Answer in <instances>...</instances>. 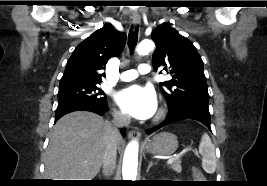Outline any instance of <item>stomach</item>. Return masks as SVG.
<instances>
[{
  "label": "stomach",
  "instance_id": "1",
  "mask_svg": "<svg viewBox=\"0 0 267 186\" xmlns=\"http://www.w3.org/2000/svg\"><path fill=\"white\" fill-rule=\"evenodd\" d=\"M178 147L176 135L169 132H161L145 142L147 152L157 155H171Z\"/></svg>",
  "mask_w": 267,
  "mask_h": 186
}]
</instances>
